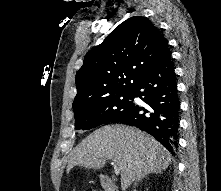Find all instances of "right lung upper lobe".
Instances as JSON below:
<instances>
[{"label":"right lung upper lobe","instance_id":"1","mask_svg":"<svg viewBox=\"0 0 221 191\" xmlns=\"http://www.w3.org/2000/svg\"><path fill=\"white\" fill-rule=\"evenodd\" d=\"M168 53L166 39L149 19L142 16L127 19L85 56L76 74L74 113L133 91Z\"/></svg>","mask_w":221,"mask_h":191}]
</instances>
